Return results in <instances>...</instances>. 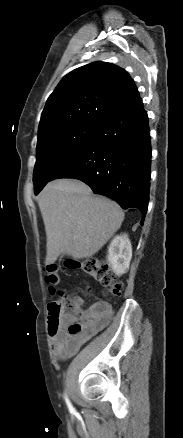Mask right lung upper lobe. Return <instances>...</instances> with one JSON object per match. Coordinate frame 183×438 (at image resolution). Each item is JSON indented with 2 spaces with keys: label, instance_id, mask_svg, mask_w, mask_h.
Returning a JSON list of instances; mask_svg holds the SVG:
<instances>
[{
  "label": "right lung upper lobe",
  "instance_id": "right-lung-upper-lobe-1",
  "mask_svg": "<svg viewBox=\"0 0 183 438\" xmlns=\"http://www.w3.org/2000/svg\"><path fill=\"white\" fill-rule=\"evenodd\" d=\"M128 73L107 62H93L67 74L49 96L38 137L77 125H94L141 103Z\"/></svg>",
  "mask_w": 183,
  "mask_h": 438
}]
</instances>
